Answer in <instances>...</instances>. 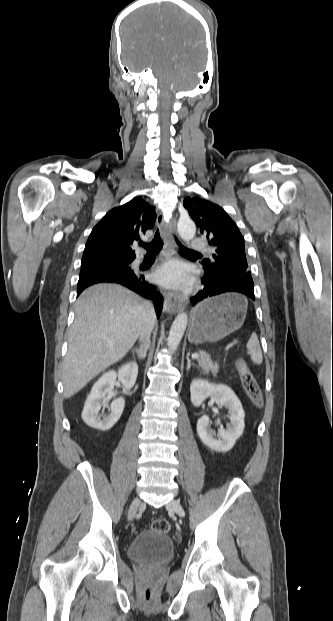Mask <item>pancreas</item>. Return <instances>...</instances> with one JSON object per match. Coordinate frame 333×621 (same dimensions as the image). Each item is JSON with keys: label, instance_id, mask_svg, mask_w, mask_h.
<instances>
[{"label": "pancreas", "instance_id": "obj_1", "mask_svg": "<svg viewBox=\"0 0 333 621\" xmlns=\"http://www.w3.org/2000/svg\"><path fill=\"white\" fill-rule=\"evenodd\" d=\"M200 357L197 359L199 367L208 374L210 371L213 375H216L219 371V365L217 362H213L208 354L203 350H199Z\"/></svg>", "mask_w": 333, "mask_h": 621}]
</instances>
